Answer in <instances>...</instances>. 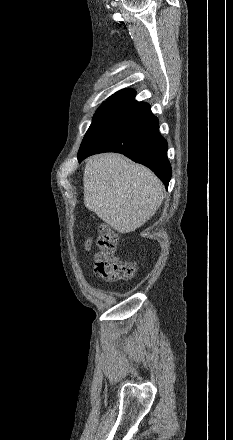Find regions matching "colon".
<instances>
[{"label": "colon", "mask_w": 233, "mask_h": 440, "mask_svg": "<svg viewBox=\"0 0 233 440\" xmlns=\"http://www.w3.org/2000/svg\"><path fill=\"white\" fill-rule=\"evenodd\" d=\"M97 252L94 256L95 271L105 280L118 281L134 275L135 264L118 257V237L107 224L99 227Z\"/></svg>", "instance_id": "colon-1"}]
</instances>
